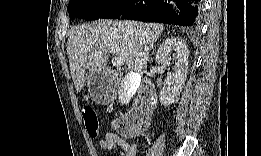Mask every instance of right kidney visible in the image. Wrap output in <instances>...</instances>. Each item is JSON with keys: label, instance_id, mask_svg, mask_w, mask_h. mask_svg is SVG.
Returning <instances> with one entry per match:
<instances>
[{"label": "right kidney", "instance_id": "1", "mask_svg": "<svg viewBox=\"0 0 261 156\" xmlns=\"http://www.w3.org/2000/svg\"><path fill=\"white\" fill-rule=\"evenodd\" d=\"M176 52L175 69L174 73L167 75L165 79V86L160 91V102L162 105L167 106L176 101L179 97L188 72V57L189 52L186 43L178 38L171 37L166 39L159 47L156 53V61L158 64L169 65L170 55ZM129 77H125L124 81ZM126 83V82H125ZM138 82L134 85V90L137 88Z\"/></svg>", "mask_w": 261, "mask_h": 156}]
</instances>
